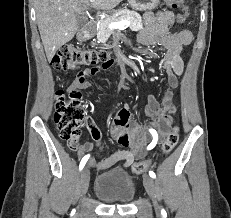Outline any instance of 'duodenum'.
I'll list each match as a JSON object with an SVG mask.
<instances>
[{"mask_svg":"<svg viewBox=\"0 0 231 218\" xmlns=\"http://www.w3.org/2000/svg\"><path fill=\"white\" fill-rule=\"evenodd\" d=\"M94 29V24L92 22H89L88 24H86L83 31L80 33V38L83 40L88 39L93 34Z\"/></svg>","mask_w":231,"mask_h":218,"instance_id":"duodenum-1","label":"duodenum"}]
</instances>
